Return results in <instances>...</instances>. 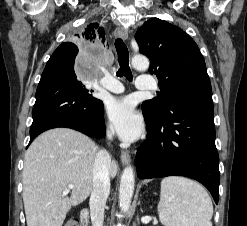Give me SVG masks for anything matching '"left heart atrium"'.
<instances>
[{
	"label": "left heart atrium",
	"instance_id": "left-heart-atrium-1",
	"mask_svg": "<svg viewBox=\"0 0 247 226\" xmlns=\"http://www.w3.org/2000/svg\"><path fill=\"white\" fill-rule=\"evenodd\" d=\"M107 114L122 140L132 142L142 134V117L131 98H112L107 104Z\"/></svg>",
	"mask_w": 247,
	"mask_h": 226
}]
</instances>
